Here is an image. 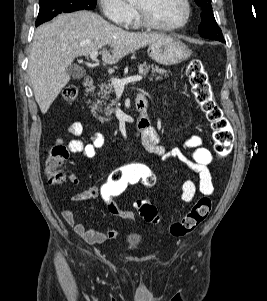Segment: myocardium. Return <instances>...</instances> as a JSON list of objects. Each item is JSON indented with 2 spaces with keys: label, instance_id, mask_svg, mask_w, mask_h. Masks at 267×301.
I'll return each mask as SVG.
<instances>
[{
  "label": "myocardium",
  "instance_id": "myocardium-1",
  "mask_svg": "<svg viewBox=\"0 0 267 301\" xmlns=\"http://www.w3.org/2000/svg\"><path fill=\"white\" fill-rule=\"evenodd\" d=\"M183 3L185 5V16L181 22L174 24V25L159 24L156 21H154L152 18H150L143 9L136 7V6H134V8L136 11L138 21L142 26H144L148 29H152V30L169 32V31L179 30V29L185 27L188 24V22L190 21L191 14H192L190 1L183 0Z\"/></svg>",
  "mask_w": 267,
  "mask_h": 301
}]
</instances>
